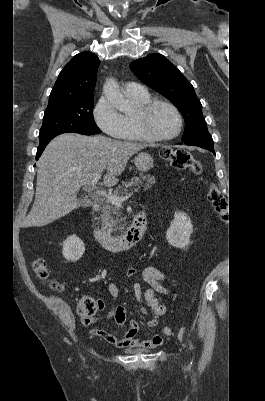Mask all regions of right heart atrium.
Wrapping results in <instances>:
<instances>
[{"label": "right heart atrium", "instance_id": "right-heart-atrium-1", "mask_svg": "<svg viewBox=\"0 0 265 401\" xmlns=\"http://www.w3.org/2000/svg\"><path fill=\"white\" fill-rule=\"evenodd\" d=\"M93 119L107 135L117 137L124 129V120L113 102L105 95L101 96L94 109Z\"/></svg>", "mask_w": 265, "mask_h": 401}]
</instances>
